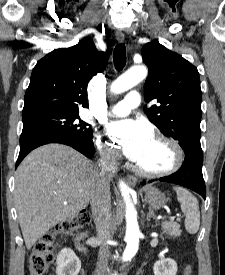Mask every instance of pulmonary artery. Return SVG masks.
Returning <instances> with one entry per match:
<instances>
[{
  "label": "pulmonary artery",
  "instance_id": "pulmonary-artery-1",
  "mask_svg": "<svg viewBox=\"0 0 225 275\" xmlns=\"http://www.w3.org/2000/svg\"><path fill=\"white\" fill-rule=\"evenodd\" d=\"M141 96L137 91L129 92L125 99L112 105L109 112L116 116H125L130 113V111L140 105Z\"/></svg>",
  "mask_w": 225,
  "mask_h": 275
}]
</instances>
